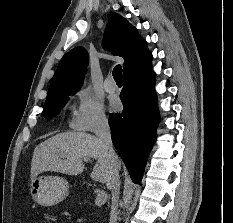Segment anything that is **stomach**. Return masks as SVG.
I'll return each instance as SVG.
<instances>
[{"instance_id":"1","label":"stomach","mask_w":233,"mask_h":223,"mask_svg":"<svg viewBox=\"0 0 233 223\" xmlns=\"http://www.w3.org/2000/svg\"><path fill=\"white\" fill-rule=\"evenodd\" d=\"M30 193L39 205H56L70 193L67 179L59 175H38L30 181Z\"/></svg>"}]
</instances>
